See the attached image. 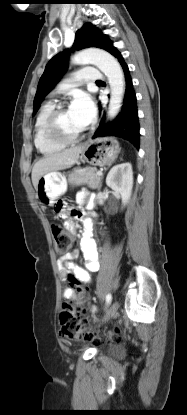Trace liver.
Instances as JSON below:
<instances>
[{"label":"liver","mask_w":187,"mask_h":415,"mask_svg":"<svg viewBox=\"0 0 187 415\" xmlns=\"http://www.w3.org/2000/svg\"><path fill=\"white\" fill-rule=\"evenodd\" d=\"M83 147L76 146L64 151L45 155L37 161L32 169V183L36 187L38 180L49 172L64 170L72 167L79 159Z\"/></svg>","instance_id":"1"}]
</instances>
